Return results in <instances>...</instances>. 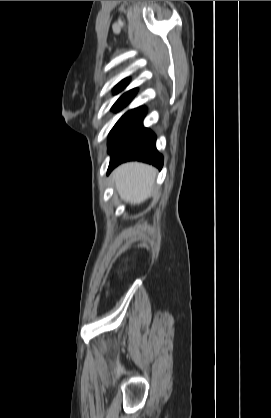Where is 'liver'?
Returning <instances> with one entry per match:
<instances>
[{
    "instance_id": "6515ba94",
    "label": "liver",
    "mask_w": 271,
    "mask_h": 418,
    "mask_svg": "<svg viewBox=\"0 0 271 418\" xmlns=\"http://www.w3.org/2000/svg\"><path fill=\"white\" fill-rule=\"evenodd\" d=\"M156 173L157 170L150 165L129 162L117 167L112 179L121 199L140 204L151 195Z\"/></svg>"
}]
</instances>
